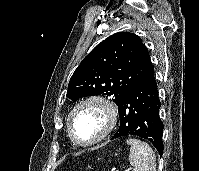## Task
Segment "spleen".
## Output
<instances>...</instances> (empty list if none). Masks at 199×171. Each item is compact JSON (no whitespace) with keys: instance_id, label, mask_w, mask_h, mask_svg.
I'll return each instance as SVG.
<instances>
[{"instance_id":"obj_1","label":"spleen","mask_w":199,"mask_h":171,"mask_svg":"<svg viewBox=\"0 0 199 171\" xmlns=\"http://www.w3.org/2000/svg\"><path fill=\"white\" fill-rule=\"evenodd\" d=\"M126 142L130 145L129 161L133 171H156V157L149 144L135 138Z\"/></svg>"}]
</instances>
